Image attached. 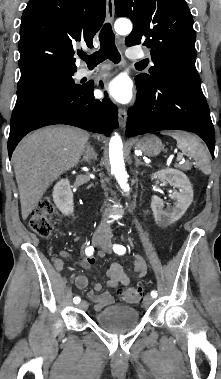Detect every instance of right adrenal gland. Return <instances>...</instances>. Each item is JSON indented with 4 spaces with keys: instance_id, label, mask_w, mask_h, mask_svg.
<instances>
[{
    "instance_id": "obj_1",
    "label": "right adrenal gland",
    "mask_w": 221,
    "mask_h": 379,
    "mask_svg": "<svg viewBox=\"0 0 221 379\" xmlns=\"http://www.w3.org/2000/svg\"><path fill=\"white\" fill-rule=\"evenodd\" d=\"M94 157V150L93 148L91 147L90 144H87L86 145V150L83 154V157L81 159V162H87L88 164H90L92 162V159Z\"/></svg>"
}]
</instances>
